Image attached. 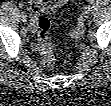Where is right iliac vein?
<instances>
[{
  "label": "right iliac vein",
  "mask_w": 111,
  "mask_h": 106,
  "mask_svg": "<svg viewBox=\"0 0 111 106\" xmlns=\"http://www.w3.org/2000/svg\"><path fill=\"white\" fill-rule=\"evenodd\" d=\"M21 20H22L23 22H26V21H27V16H21Z\"/></svg>",
  "instance_id": "obj_1"
}]
</instances>
